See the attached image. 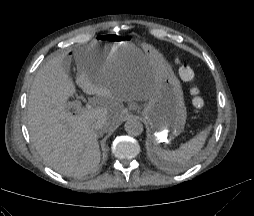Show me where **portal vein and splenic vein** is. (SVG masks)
I'll list each match as a JSON object with an SVG mask.
<instances>
[{
    "label": "portal vein and splenic vein",
    "mask_w": 254,
    "mask_h": 216,
    "mask_svg": "<svg viewBox=\"0 0 254 216\" xmlns=\"http://www.w3.org/2000/svg\"><path fill=\"white\" fill-rule=\"evenodd\" d=\"M70 108L74 109L75 115H78L82 111V105L79 100H75L73 102H70Z\"/></svg>",
    "instance_id": "obj_1"
}]
</instances>
